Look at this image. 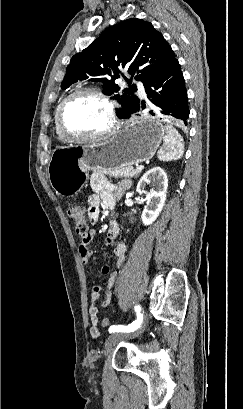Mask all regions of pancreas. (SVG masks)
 I'll list each match as a JSON object with an SVG mask.
<instances>
[{"instance_id":"pancreas-1","label":"pancreas","mask_w":243,"mask_h":409,"mask_svg":"<svg viewBox=\"0 0 243 409\" xmlns=\"http://www.w3.org/2000/svg\"><path fill=\"white\" fill-rule=\"evenodd\" d=\"M140 170L134 169V167L127 166L120 169L115 170H107L104 171L105 174L109 176H113L115 178L124 177V178H132L138 176L140 174Z\"/></svg>"}]
</instances>
